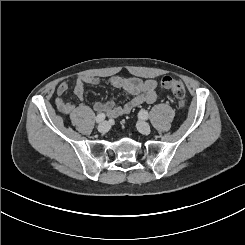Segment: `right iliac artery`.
I'll return each instance as SVG.
<instances>
[{
  "label": "right iliac artery",
  "mask_w": 245,
  "mask_h": 245,
  "mask_svg": "<svg viewBox=\"0 0 245 245\" xmlns=\"http://www.w3.org/2000/svg\"><path fill=\"white\" fill-rule=\"evenodd\" d=\"M105 118H106L105 114L104 113H100L96 117V122L97 123H101V122H103L105 120Z\"/></svg>",
  "instance_id": "82829eb1"
}]
</instances>
